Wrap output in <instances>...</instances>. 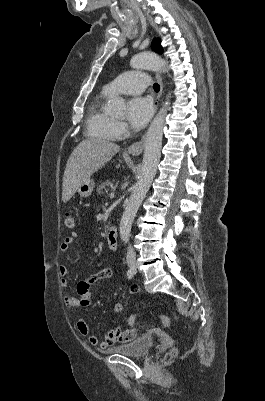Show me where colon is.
I'll list each match as a JSON object with an SVG mask.
<instances>
[{
    "label": "colon",
    "mask_w": 265,
    "mask_h": 401,
    "mask_svg": "<svg viewBox=\"0 0 265 401\" xmlns=\"http://www.w3.org/2000/svg\"><path fill=\"white\" fill-rule=\"evenodd\" d=\"M64 223L68 229H73L75 227V218L73 217V215L71 213H67L65 215ZM135 321H136V315L132 314L128 319V323L130 325H134ZM160 321H161L162 325L166 326L169 323V318L165 315H162V316H160ZM128 335L133 339L136 336V331L134 329H131L128 331ZM171 354L172 355L175 354V351H172Z\"/></svg>",
    "instance_id": "colon-1"
}]
</instances>
